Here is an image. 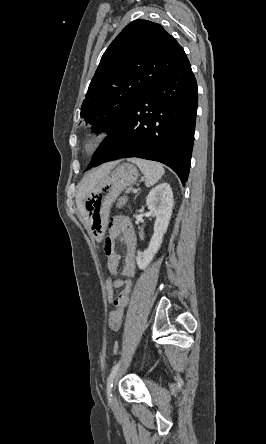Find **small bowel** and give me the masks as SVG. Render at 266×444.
Masks as SVG:
<instances>
[{"label":"small bowel","instance_id":"obj_1","mask_svg":"<svg viewBox=\"0 0 266 444\" xmlns=\"http://www.w3.org/2000/svg\"><path fill=\"white\" fill-rule=\"evenodd\" d=\"M120 239L125 246L124 264L119 269L122 259L116 249V242ZM104 252L107 257V268L114 275H121L127 280L115 278L116 288H122L109 312L108 323L113 331H118L122 325L124 313L129 302L132 279L135 276L136 237L130 220L125 216H116L109 223V233L104 241Z\"/></svg>","mask_w":266,"mask_h":444}]
</instances>
